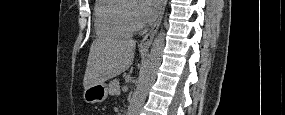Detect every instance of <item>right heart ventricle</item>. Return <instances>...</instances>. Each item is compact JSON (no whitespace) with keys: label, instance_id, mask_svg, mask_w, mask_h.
<instances>
[{"label":"right heart ventricle","instance_id":"e07e8e85","mask_svg":"<svg viewBox=\"0 0 285 115\" xmlns=\"http://www.w3.org/2000/svg\"><path fill=\"white\" fill-rule=\"evenodd\" d=\"M94 26L101 37H124L134 31L123 0H99L94 9Z\"/></svg>","mask_w":285,"mask_h":115}]
</instances>
